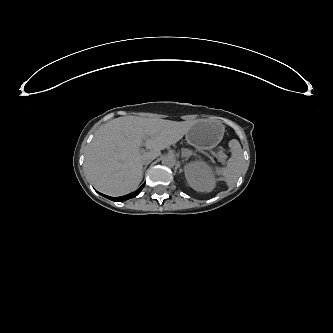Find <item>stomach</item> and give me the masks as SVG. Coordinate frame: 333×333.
Returning <instances> with one entry per match:
<instances>
[{"mask_svg": "<svg viewBox=\"0 0 333 333\" xmlns=\"http://www.w3.org/2000/svg\"><path fill=\"white\" fill-rule=\"evenodd\" d=\"M187 141L190 143V144H197V142L195 141V139H193V137L191 135H189L187 137Z\"/></svg>", "mask_w": 333, "mask_h": 333, "instance_id": "stomach-1", "label": "stomach"}]
</instances>
